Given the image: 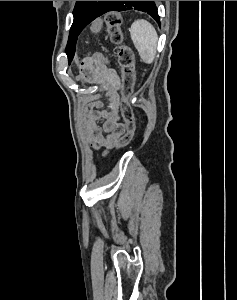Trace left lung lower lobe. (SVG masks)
<instances>
[{"label":"left lung lower lobe","mask_w":237,"mask_h":300,"mask_svg":"<svg viewBox=\"0 0 237 300\" xmlns=\"http://www.w3.org/2000/svg\"><path fill=\"white\" fill-rule=\"evenodd\" d=\"M120 4L121 1H109V3L104 7L103 11L101 12V15L109 11H124Z\"/></svg>","instance_id":"1"}]
</instances>
